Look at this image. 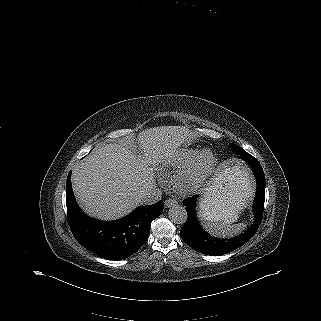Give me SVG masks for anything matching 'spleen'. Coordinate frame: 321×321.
<instances>
[{
	"mask_svg": "<svg viewBox=\"0 0 321 321\" xmlns=\"http://www.w3.org/2000/svg\"><path fill=\"white\" fill-rule=\"evenodd\" d=\"M199 215L206 221L204 226L213 235L230 237L240 233L246 224H229V211L225 204H208L201 208Z\"/></svg>",
	"mask_w": 321,
	"mask_h": 321,
	"instance_id": "obj_1",
	"label": "spleen"
}]
</instances>
